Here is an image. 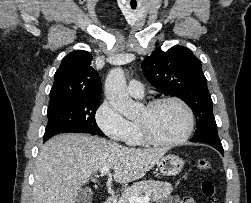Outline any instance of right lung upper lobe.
Segmentation results:
<instances>
[{"label": "right lung upper lobe", "instance_id": "obj_1", "mask_svg": "<svg viewBox=\"0 0 251 203\" xmlns=\"http://www.w3.org/2000/svg\"><path fill=\"white\" fill-rule=\"evenodd\" d=\"M91 60V54L84 50L71 52L63 58L54 76L49 107L82 99H99L101 81L90 66Z\"/></svg>", "mask_w": 251, "mask_h": 203}]
</instances>
